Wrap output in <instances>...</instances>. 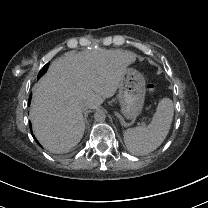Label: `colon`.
<instances>
[{
	"mask_svg": "<svg viewBox=\"0 0 208 208\" xmlns=\"http://www.w3.org/2000/svg\"><path fill=\"white\" fill-rule=\"evenodd\" d=\"M148 90L150 92H152L154 90V85H152V84L148 85Z\"/></svg>",
	"mask_w": 208,
	"mask_h": 208,
	"instance_id": "colon-1",
	"label": "colon"
}]
</instances>
